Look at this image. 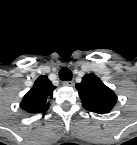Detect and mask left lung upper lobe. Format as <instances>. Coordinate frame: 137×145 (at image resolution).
Here are the masks:
<instances>
[{
	"mask_svg": "<svg viewBox=\"0 0 137 145\" xmlns=\"http://www.w3.org/2000/svg\"><path fill=\"white\" fill-rule=\"evenodd\" d=\"M76 88L86 110L105 114L109 113L116 104L115 93L92 73L86 74Z\"/></svg>",
	"mask_w": 137,
	"mask_h": 145,
	"instance_id": "left-lung-upper-lobe-1",
	"label": "left lung upper lobe"
}]
</instances>
